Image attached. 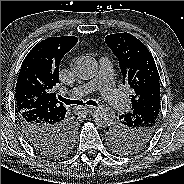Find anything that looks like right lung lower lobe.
<instances>
[{
	"label": "right lung lower lobe",
	"instance_id": "98d812e1",
	"mask_svg": "<svg viewBox=\"0 0 184 184\" xmlns=\"http://www.w3.org/2000/svg\"><path fill=\"white\" fill-rule=\"evenodd\" d=\"M66 110L48 112L41 109L18 113L19 123L29 143L38 151L61 145L67 129L73 127L65 118Z\"/></svg>",
	"mask_w": 184,
	"mask_h": 184
}]
</instances>
